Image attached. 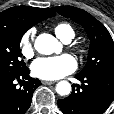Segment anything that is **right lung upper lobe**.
I'll return each instance as SVG.
<instances>
[{"label": "right lung upper lobe", "mask_w": 114, "mask_h": 114, "mask_svg": "<svg viewBox=\"0 0 114 114\" xmlns=\"http://www.w3.org/2000/svg\"><path fill=\"white\" fill-rule=\"evenodd\" d=\"M50 8L15 6L0 13V26L30 29L40 21L55 16Z\"/></svg>", "instance_id": "cb5924a9"}]
</instances>
